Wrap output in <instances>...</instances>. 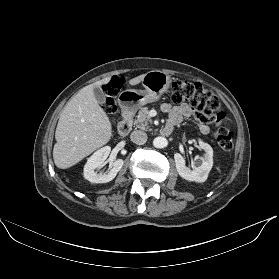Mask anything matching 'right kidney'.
<instances>
[{"label": "right kidney", "instance_id": "right-kidney-1", "mask_svg": "<svg viewBox=\"0 0 279 279\" xmlns=\"http://www.w3.org/2000/svg\"><path fill=\"white\" fill-rule=\"evenodd\" d=\"M111 148L105 146L97 150L90 158L86 165L84 166V178L91 183H107L113 180L117 173L121 170L124 161L122 159H117L111 163L109 169L105 173H99L95 171L104 165L105 160L109 156Z\"/></svg>", "mask_w": 279, "mask_h": 279}]
</instances>
